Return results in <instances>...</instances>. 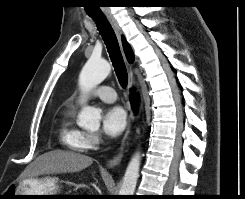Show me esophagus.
Listing matches in <instances>:
<instances>
[{
  "label": "esophagus",
  "instance_id": "obj_1",
  "mask_svg": "<svg viewBox=\"0 0 245 199\" xmlns=\"http://www.w3.org/2000/svg\"><path fill=\"white\" fill-rule=\"evenodd\" d=\"M106 17L108 19V21L110 22L112 28L114 29L117 37L119 38V40H121V28L119 27V24L117 22V20L114 18V16L112 14H106ZM132 85H133V72L131 70V67L129 68V82H128V92H131L132 90ZM134 118L133 112L130 113L129 115V120H128V126L126 129V132L124 134V137L122 139L121 142V146L119 149V152L117 155H115L112 159H110L107 163V167L112 168L116 165H118L121 162L122 156H123V149L126 143V140L131 132V125H132V120Z\"/></svg>",
  "mask_w": 245,
  "mask_h": 199
}]
</instances>
